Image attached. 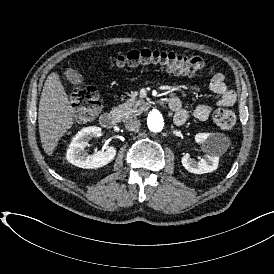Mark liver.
I'll use <instances>...</instances> for the list:
<instances>
[{
    "label": "liver",
    "instance_id": "obj_1",
    "mask_svg": "<svg viewBox=\"0 0 274 274\" xmlns=\"http://www.w3.org/2000/svg\"><path fill=\"white\" fill-rule=\"evenodd\" d=\"M68 80L78 73L69 69L65 73ZM74 109L57 73H51L43 86L39 101L38 125L44 152L51 156L58 141L74 124Z\"/></svg>",
    "mask_w": 274,
    "mask_h": 274
}]
</instances>
